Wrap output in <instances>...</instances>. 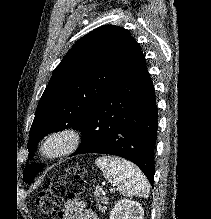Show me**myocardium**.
Returning <instances> with one entry per match:
<instances>
[{
    "instance_id": "f54148a6",
    "label": "myocardium",
    "mask_w": 211,
    "mask_h": 219,
    "mask_svg": "<svg viewBox=\"0 0 211 219\" xmlns=\"http://www.w3.org/2000/svg\"><path fill=\"white\" fill-rule=\"evenodd\" d=\"M82 134L74 127H64L45 134L37 146L44 161H57L72 155L81 145Z\"/></svg>"
}]
</instances>
